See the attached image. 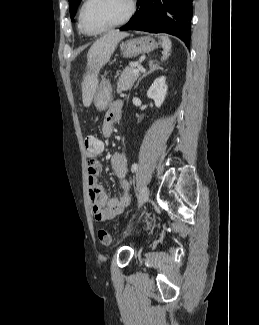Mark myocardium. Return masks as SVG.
Wrapping results in <instances>:
<instances>
[{
  "label": "myocardium",
  "instance_id": "f54148a6",
  "mask_svg": "<svg viewBox=\"0 0 259 325\" xmlns=\"http://www.w3.org/2000/svg\"><path fill=\"white\" fill-rule=\"evenodd\" d=\"M91 2V0H85L83 2V4L81 5L80 7V10H79V14H78V25H79V28L80 30L86 34V35H89V36H97V35H101L103 33H106V32H109L113 29H116L118 27H121L123 26L124 24H126L134 15L135 11H136V2L135 0H129V8H128V11L126 13V15L120 20L118 21L117 23L105 28V29H102V30H99V31H89L85 28L84 26V22H83V14H84V10L86 8V6Z\"/></svg>",
  "mask_w": 259,
  "mask_h": 325
}]
</instances>
